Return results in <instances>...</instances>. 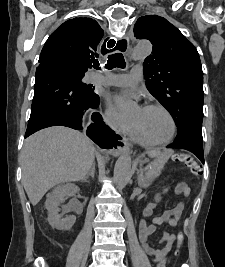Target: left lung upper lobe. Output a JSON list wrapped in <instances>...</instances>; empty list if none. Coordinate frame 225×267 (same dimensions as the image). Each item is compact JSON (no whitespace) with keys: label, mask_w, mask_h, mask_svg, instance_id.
<instances>
[{"label":"left lung upper lobe","mask_w":225,"mask_h":267,"mask_svg":"<svg viewBox=\"0 0 225 267\" xmlns=\"http://www.w3.org/2000/svg\"><path fill=\"white\" fill-rule=\"evenodd\" d=\"M134 33L153 45L143 64L146 86L169 111L180 137L192 124H202L204 92L199 54L177 28L157 15L140 17Z\"/></svg>","instance_id":"1"}]
</instances>
